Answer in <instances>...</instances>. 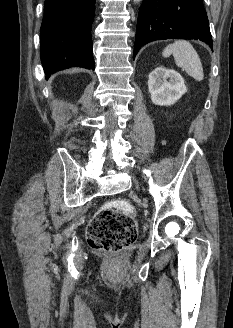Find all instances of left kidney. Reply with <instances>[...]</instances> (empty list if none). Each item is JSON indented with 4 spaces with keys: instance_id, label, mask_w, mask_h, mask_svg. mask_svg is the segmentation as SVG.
<instances>
[{
    "instance_id": "5707ae66",
    "label": "left kidney",
    "mask_w": 233,
    "mask_h": 328,
    "mask_svg": "<svg viewBox=\"0 0 233 328\" xmlns=\"http://www.w3.org/2000/svg\"><path fill=\"white\" fill-rule=\"evenodd\" d=\"M148 88L152 102L160 106L173 105L187 91L183 77L165 67H157L149 73Z\"/></svg>"
}]
</instances>
